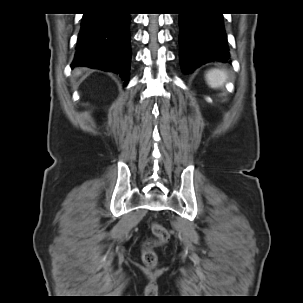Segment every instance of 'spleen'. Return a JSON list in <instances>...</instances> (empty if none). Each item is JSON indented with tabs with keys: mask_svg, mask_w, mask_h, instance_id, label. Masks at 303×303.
<instances>
[{
	"mask_svg": "<svg viewBox=\"0 0 303 303\" xmlns=\"http://www.w3.org/2000/svg\"><path fill=\"white\" fill-rule=\"evenodd\" d=\"M205 79L211 88L218 89L223 87L227 82L228 75L227 72L222 69H211L206 73Z\"/></svg>",
	"mask_w": 303,
	"mask_h": 303,
	"instance_id": "obj_1",
	"label": "spleen"
}]
</instances>
